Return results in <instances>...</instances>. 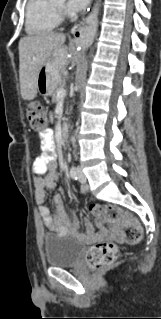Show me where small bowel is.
Here are the masks:
<instances>
[{"label":"small bowel","instance_id":"small-bowel-1","mask_svg":"<svg viewBox=\"0 0 161 319\" xmlns=\"http://www.w3.org/2000/svg\"><path fill=\"white\" fill-rule=\"evenodd\" d=\"M41 154L36 157L32 165V171L35 174L34 188L35 199L38 204L39 214L44 226L49 231H58L60 234L81 235L84 230L89 240L96 238V229L90 222L81 223L80 221H72L70 214L66 211L63 198L60 194L54 195V203L56 206L55 214H52L46 202V195L49 190H53L56 186V151L55 136L52 130L39 133ZM47 144H53L52 148ZM85 188L81 189L84 193ZM99 225L104 226L105 221L100 219ZM120 226L112 224L108 232L102 235L103 238L109 236H118Z\"/></svg>","mask_w":161,"mask_h":319}]
</instances>
